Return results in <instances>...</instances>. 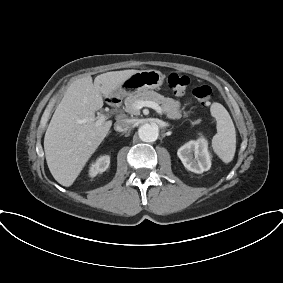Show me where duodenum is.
I'll return each instance as SVG.
<instances>
[{
	"label": "duodenum",
	"instance_id": "obj_1",
	"mask_svg": "<svg viewBox=\"0 0 283 283\" xmlns=\"http://www.w3.org/2000/svg\"><path fill=\"white\" fill-rule=\"evenodd\" d=\"M108 105L112 108H117L120 105V97L115 96L108 99Z\"/></svg>",
	"mask_w": 283,
	"mask_h": 283
}]
</instances>
